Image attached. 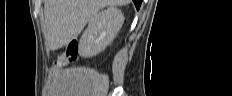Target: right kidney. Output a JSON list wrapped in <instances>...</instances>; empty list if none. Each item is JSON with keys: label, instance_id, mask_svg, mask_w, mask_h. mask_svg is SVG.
<instances>
[{"label": "right kidney", "instance_id": "obj_1", "mask_svg": "<svg viewBox=\"0 0 232 96\" xmlns=\"http://www.w3.org/2000/svg\"><path fill=\"white\" fill-rule=\"evenodd\" d=\"M123 22L124 16L116 7L96 13L81 36L79 54L90 58L104 50L116 37Z\"/></svg>", "mask_w": 232, "mask_h": 96}]
</instances>
